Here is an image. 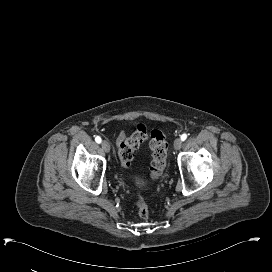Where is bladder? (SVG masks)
Segmentation results:
<instances>
[{
    "mask_svg": "<svg viewBox=\"0 0 272 272\" xmlns=\"http://www.w3.org/2000/svg\"><path fill=\"white\" fill-rule=\"evenodd\" d=\"M136 183H137V185H142L141 181H137Z\"/></svg>",
    "mask_w": 272,
    "mask_h": 272,
    "instance_id": "1",
    "label": "bladder"
}]
</instances>
